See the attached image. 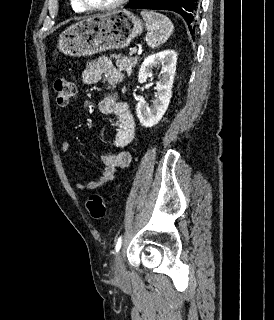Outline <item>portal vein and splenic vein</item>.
<instances>
[{"mask_svg":"<svg viewBox=\"0 0 274 320\" xmlns=\"http://www.w3.org/2000/svg\"><path fill=\"white\" fill-rule=\"evenodd\" d=\"M135 52H137V50H132V52H130V56H132V54H135Z\"/></svg>","mask_w":274,"mask_h":320,"instance_id":"obj_1","label":"portal vein and splenic vein"}]
</instances>
